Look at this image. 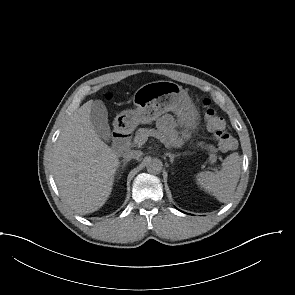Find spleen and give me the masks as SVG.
I'll return each mask as SVG.
<instances>
[{
	"label": "spleen",
	"mask_w": 295,
	"mask_h": 295,
	"mask_svg": "<svg viewBox=\"0 0 295 295\" xmlns=\"http://www.w3.org/2000/svg\"><path fill=\"white\" fill-rule=\"evenodd\" d=\"M240 177L238 153L226 157L219 172L203 171L196 175L197 184L222 203L230 201Z\"/></svg>",
	"instance_id": "obj_1"
}]
</instances>
